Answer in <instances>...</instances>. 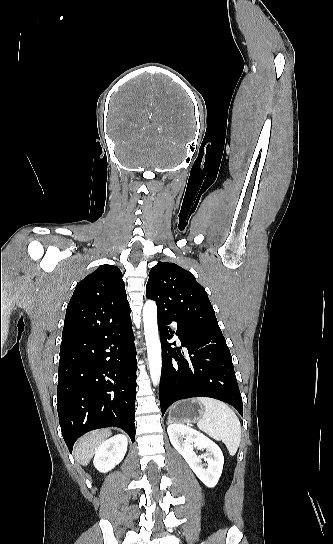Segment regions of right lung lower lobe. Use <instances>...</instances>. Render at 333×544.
I'll use <instances>...</instances> for the list:
<instances>
[{
    "instance_id": "1",
    "label": "right lung lower lobe",
    "mask_w": 333,
    "mask_h": 544,
    "mask_svg": "<svg viewBox=\"0 0 333 544\" xmlns=\"http://www.w3.org/2000/svg\"><path fill=\"white\" fill-rule=\"evenodd\" d=\"M136 350L130 313L62 338L57 410L72 452L88 431L119 427L135 437Z\"/></svg>"
}]
</instances>
